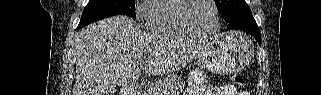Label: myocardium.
<instances>
[{"instance_id":"f54148a6","label":"myocardium","mask_w":321,"mask_h":95,"mask_svg":"<svg viewBox=\"0 0 321 95\" xmlns=\"http://www.w3.org/2000/svg\"><path fill=\"white\" fill-rule=\"evenodd\" d=\"M195 0H181L180 4L177 6L175 10V21L182 26L184 29H186L190 34L194 36H199V37H207L212 34H214L219 26V11L217 8V5L214 0H208L210 4L213 7V12H214V26L213 28L208 31V32H200L196 28H194L190 22L187 19L186 16V11L190 4L194 2Z\"/></svg>"}]
</instances>
